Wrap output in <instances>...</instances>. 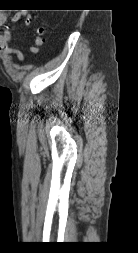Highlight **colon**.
Masks as SVG:
<instances>
[{"label":"colon","instance_id":"colon-1","mask_svg":"<svg viewBox=\"0 0 138 253\" xmlns=\"http://www.w3.org/2000/svg\"><path fill=\"white\" fill-rule=\"evenodd\" d=\"M44 43H45V39L42 35V32L40 31L35 38V45L33 46L32 52L37 53L40 50V48L44 45Z\"/></svg>","mask_w":138,"mask_h":253}]
</instances>
